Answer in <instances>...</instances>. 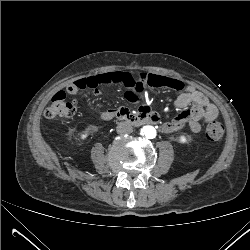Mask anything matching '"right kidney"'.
Wrapping results in <instances>:
<instances>
[{"mask_svg": "<svg viewBox=\"0 0 250 250\" xmlns=\"http://www.w3.org/2000/svg\"><path fill=\"white\" fill-rule=\"evenodd\" d=\"M88 136H89V132L85 131V132H83V133L80 135V138H81L82 140H85Z\"/></svg>", "mask_w": 250, "mask_h": 250, "instance_id": "ca27d5eb", "label": "right kidney"}]
</instances>
